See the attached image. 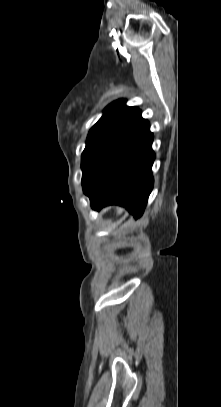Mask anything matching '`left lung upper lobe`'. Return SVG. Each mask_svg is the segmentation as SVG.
Wrapping results in <instances>:
<instances>
[{
    "mask_svg": "<svg viewBox=\"0 0 221 407\" xmlns=\"http://www.w3.org/2000/svg\"><path fill=\"white\" fill-rule=\"evenodd\" d=\"M138 112V108L126 106L123 99L106 107L103 116L89 131L86 147L81 156L82 184L100 157L127 128Z\"/></svg>",
    "mask_w": 221,
    "mask_h": 407,
    "instance_id": "left-lung-upper-lobe-1",
    "label": "left lung upper lobe"
}]
</instances>
